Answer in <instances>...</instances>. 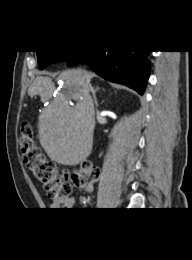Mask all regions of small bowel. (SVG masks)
Returning a JSON list of instances; mask_svg holds the SVG:
<instances>
[{
	"label": "small bowel",
	"mask_w": 192,
	"mask_h": 260,
	"mask_svg": "<svg viewBox=\"0 0 192 260\" xmlns=\"http://www.w3.org/2000/svg\"><path fill=\"white\" fill-rule=\"evenodd\" d=\"M75 198L71 195L66 199L53 200L50 208L51 210H70L74 207Z\"/></svg>",
	"instance_id": "1"
}]
</instances>
